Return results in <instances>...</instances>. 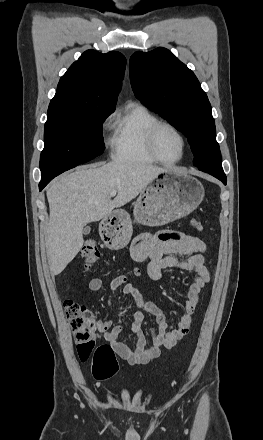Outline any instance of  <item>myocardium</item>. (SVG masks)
<instances>
[{
	"label": "myocardium",
	"instance_id": "f54148a6",
	"mask_svg": "<svg viewBox=\"0 0 263 440\" xmlns=\"http://www.w3.org/2000/svg\"><path fill=\"white\" fill-rule=\"evenodd\" d=\"M162 127H168L171 130H173L181 139L182 142V152L181 155L178 159L176 160H165L163 158H161L156 150V136L158 131L162 128ZM146 146H147V150L149 152V154L152 156V158L156 161L159 162L161 164H165V165H173V164H177L180 161L183 160V158L186 155V151H187V139L185 137V135L183 134V132L174 124H172L171 122L168 121H161L158 120L157 122H155L147 131V135H146Z\"/></svg>",
	"mask_w": 263,
	"mask_h": 440
}]
</instances>
